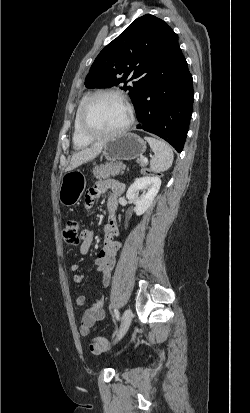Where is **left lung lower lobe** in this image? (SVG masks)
<instances>
[{"label":"left lung lower lobe","instance_id":"1","mask_svg":"<svg viewBox=\"0 0 250 413\" xmlns=\"http://www.w3.org/2000/svg\"><path fill=\"white\" fill-rule=\"evenodd\" d=\"M193 79L178 37L169 43L162 70L141 88L134 102L138 129L154 133L181 152L193 106Z\"/></svg>","mask_w":250,"mask_h":413}]
</instances>
